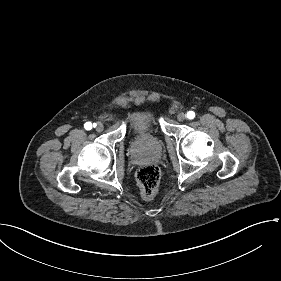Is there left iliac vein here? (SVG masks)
Here are the masks:
<instances>
[{"label": "left iliac vein", "mask_w": 281, "mask_h": 281, "mask_svg": "<svg viewBox=\"0 0 281 281\" xmlns=\"http://www.w3.org/2000/svg\"><path fill=\"white\" fill-rule=\"evenodd\" d=\"M186 114L185 113H183V112H180L178 115H177V120L178 121H184L185 119H186Z\"/></svg>", "instance_id": "left-iliac-vein-1"}]
</instances>
